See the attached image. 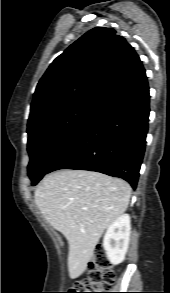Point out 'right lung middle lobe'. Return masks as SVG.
Wrapping results in <instances>:
<instances>
[{"instance_id":"right-lung-middle-lobe-1","label":"right lung middle lobe","mask_w":170,"mask_h":293,"mask_svg":"<svg viewBox=\"0 0 170 293\" xmlns=\"http://www.w3.org/2000/svg\"><path fill=\"white\" fill-rule=\"evenodd\" d=\"M102 105L82 103L67 108L27 129L28 176L36 185L55 160L91 125Z\"/></svg>"}]
</instances>
